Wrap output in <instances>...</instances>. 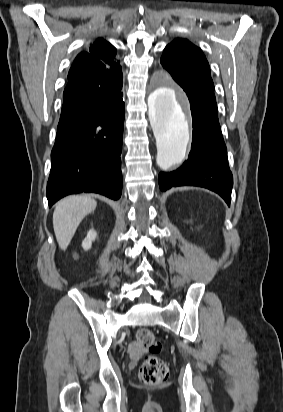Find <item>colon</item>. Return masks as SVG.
Segmentation results:
<instances>
[{"label": "colon", "instance_id": "5ec220e1", "mask_svg": "<svg viewBox=\"0 0 283 412\" xmlns=\"http://www.w3.org/2000/svg\"><path fill=\"white\" fill-rule=\"evenodd\" d=\"M137 341L150 352L143 358L139 368L141 382L147 386L164 383L169 377V367L162 358L154 355L161 349L160 341L149 329H140L137 332Z\"/></svg>", "mask_w": 283, "mask_h": 412}]
</instances>
